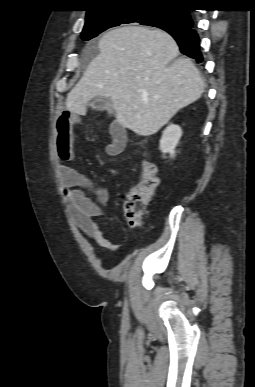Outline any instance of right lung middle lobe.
Returning a JSON list of instances; mask_svg holds the SVG:
<instances>
[{"label": "right lung middle lobe", "mask_w": 255, "mask_h": 387, "mask_svg": "<svg viewBox=\"0 0 255 387\" xmlns=\"http://www.w3.org/2000/svg\"><path fill=\"white\" fill-rule=\"evenodd\" d=\"M134 22L158 28L164 26L182 27L188 23L180 9L158 7L114 8L86 16L81 38L87 41L108 28Z\"/></svg>", "instance_id": "obj_1"}]
</instances>
